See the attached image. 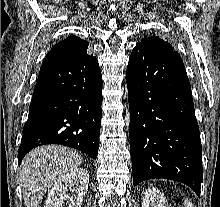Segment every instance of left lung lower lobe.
I'll list each match as a JSON object with an SVG mask.
<instances>
[{
	"mask_svg": "<svg viewBox=\"0 0 220 207\" xmlns=\"http://www.w3.org/2000/svg\"><path fill=\"white\" fill-rule=\"evenodd\" d=\"M126 80L134 186L164 178L184 183L200 196L199 126L180 55L175 50L137 44Z\"/></svg>",
	"mask_w": 220,
	"mask_h": 207,
	"instance_id": "1",
	"label": "left lung lower lobe"
}]
</instances>
